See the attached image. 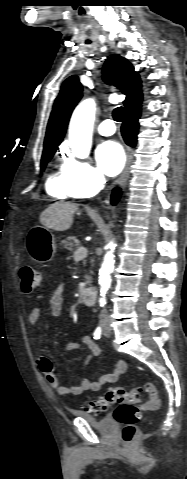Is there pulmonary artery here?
Masks as SVG:
<instances>
[{"instance_id":"e3ab8cb5","label":"pulmonary artery","mask_w":187,"mask_h":479,"mask_svg":"<svg viewBox=\"0 0 187 479\" xmlns=\"http://www.w3.org/2000/svg\"><path fill=\"white\" fill-rule=\"evenodd\" d=\"M115 130L114 122L110 119L101 122L97 128L98 133L103 136H110L115 133Z\"/></svg>"}]
</instances>
